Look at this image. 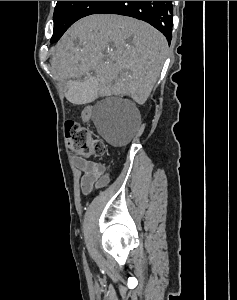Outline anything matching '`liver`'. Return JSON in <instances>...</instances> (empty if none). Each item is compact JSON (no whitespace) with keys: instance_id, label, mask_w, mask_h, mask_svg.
Wrapping results in <instances>:
<instances>
[{"instance_id":"1","label":"liver","mask_w":237,"mask_h":300,"mask_svg":"<svg viewBox=\"0 0 237 300\" xmlns=\"http://www.w3.org/2000/svg\"><path fill=\"white\" fill-rule=\"evenodd\" d=\"M168 43L157 29L121 15H90L59 41L51 65L62 79L95 71L105 95L146 103L163 67Z\"/></svg>"}]
</instances>
